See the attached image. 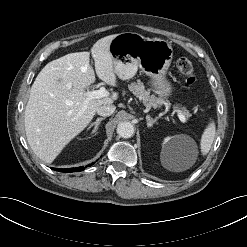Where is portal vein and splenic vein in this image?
<instances>
[{"label": "portal vein and splenic vein", "mask_w": 247, "mask_h": 247, "mask_svg": "<svg viewBox=\"0 0 247 247\" xmlns=\"http://www.w3.org/2000/svg\"><path fill=\"white\" fill-rule=\"evenodd\" d=\"M86 97L87 100H91V99H100V98H104V97H108L109 96V92L105 89V87H100V89L98 90H94V91H87L86 92ZM175 112L177 113L178 118L180 119V121L182 123L186 122V118L185 116L181 113V111L179 110H175Z\"/></svg>", "instance_id": "obj_1"}]
</instances>
